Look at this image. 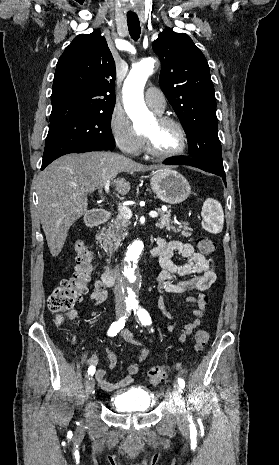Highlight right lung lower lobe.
I'll list each match as a JSON object with an SVG mask.
<instances>
[{
	"mask_svg": "<svg viewBox=\"0 0 279 465\" xmlns=\"http://www.w3.org/2000/svg\"><path fill=\"white\" fill-rule=\"evenodd\" d=\"M113 147H107V146H87L83 147L80 149L77 153H82V152H90V151H97V150H112ZM48 164H42L41 170H43Z\"/></svg>",
	"mask_w": 279,
	"mask_h": 465,
	"instance_id": "98d812e1",
	"label": "right lung lower lobe"
}]
</instances>
